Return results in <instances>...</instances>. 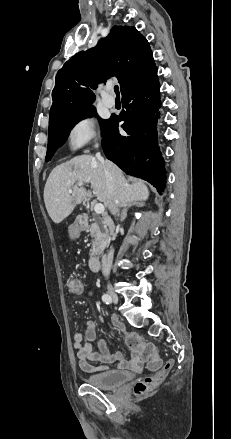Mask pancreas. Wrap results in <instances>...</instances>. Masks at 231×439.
<instances>
[{
	"label": "pancreas",
	"mask_w": 231,
	"mask_h": 439,
	"mask_svg": "<svg viewBox=\"0 0 231 439\" xmlns=\"http://www.w3.org/2000/svg\"><path fill=\"white\" fill-rule=\"evenodd\" d=\"M87 232L92 238V249L90 250V256L98 255L109 242L108 229L101 226L97 222H93Z\"/></svg>",
	"instance_id": "obj_1"
}]
</instances>
